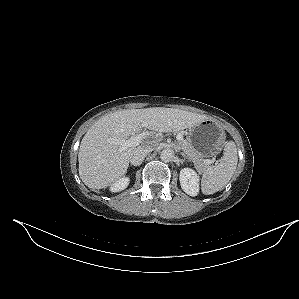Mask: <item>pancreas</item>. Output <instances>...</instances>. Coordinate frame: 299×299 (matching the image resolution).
Wrapping results in <instances>:
<instances>
[{
    "label": "pancreas",
    "mask_w": 299,
    "mask_h": 299,
    "mask_svg": "<svg viewBox=\"0 0 299 299\" xmlns=\"http://www.w3.org/2000/svg\"><path fill=\"white\" fill-rule=\"evenodd\" d=\"M179 145L187 157L193 161L197 170L202 171L207 167L208 164L204 162L203 156L195 150L188 140H181Z\"/></svg>",
    "instance_id": "pancreas-1"
}]
</instances>
